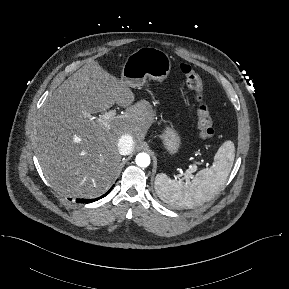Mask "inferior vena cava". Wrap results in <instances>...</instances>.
Listing matches in <instances>:
<instances>
[{
	"label": "inferior vena cava",
	"instance_id": "obj_1",
	"mask_svg": "<svg viewBox=\"0 0 289 289\" xmlns=\"http://www.w3.org/2000/svg\"><path fill=\"white\" fill-rule=\"evenodd\" d=\"M134 149L133 138L130 135H123L118 141V150L121 155H129Z\"/></svg>",
	"mask_w": 289,
	"mask_h": 289
}]
</instances>
